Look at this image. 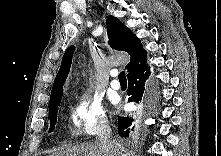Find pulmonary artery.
<instances>
[{"mask_svg": "<svg viewBox=\"0 0 221 156\" xmlns=\"http://www.w3.org/2000/svg\"><path fill=\"white\" fill-rule=\"evenodd\" d=\"M111 76L115 78L117 76V71H112ZM110 85L114 90H119L121 87L120 82L117 79H113Z\"/></svg>", "mask_w": 221, "mask_h": 156, "instance_id": "e3ab8cb5", "label": "pulmonary artery"}]
</instances>
